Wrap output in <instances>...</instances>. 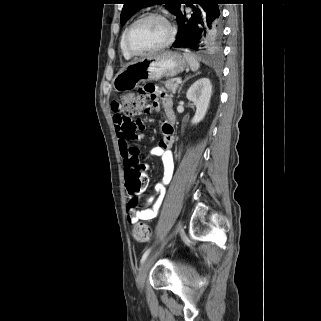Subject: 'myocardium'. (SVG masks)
I'll return each mask as SVG.
<instances>
[{
  "label": "myocardium",
  "instance_id": "1",
  "mask_svg": "<svg viewBox=\"0 0 321 321\" xmlns=\"http://www.w3.org/2000/svg\"><path fill=\"white\" fill-rule=\"evenodd\" d=\"M148 18H156L159 19L161 21H163L167 27L168 30V36L166 38V40L164 42H162L160 45L151 48L149 50L146 51H142V52H136L133 51L129 44H128V38H129V34L131 32V30L141 21L148 19ZM176 38V29L173 25V23L170 21V19L160 13V12H156V11H152V12H146L144 14H142L141 16H139L136 20H134L129 26L128 28L125 30L124 32V36H123V45L124 48L126 50V52L131 55L132 57H140V56H145V55H149V54H153L159 51H162L166 48H168L170 45L173 44V42L175 41Z\"/></svg>",
  "mask_w": 321,
  "mask_h": 321
}]
</instances>
